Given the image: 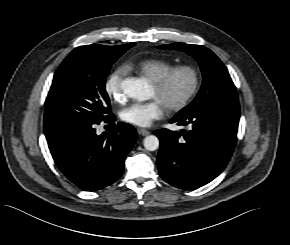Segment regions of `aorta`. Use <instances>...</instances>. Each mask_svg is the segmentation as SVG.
I'll return each mask as SVG.
<instances>
[{
	"label": "aorta",
	"instance_id": "aorta-1",
	"mask_svg": "<svg viewBox=\"0 0 290 245\" xmlns=\"http://www.w3.org/2000/svg\"><path fill=\"white\" fill-rule=\"evenodd\" d=\"M123 92L131 98L139 101L150 98V86L145 78H127L122 83ZM144 147L148 151L159 148V139L155 135H149L144 139Z\"/></svg>",
	"mask_w": 290,
	"mask_h": 245
}]
</instances>
